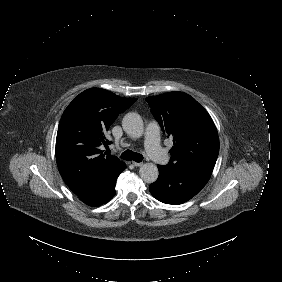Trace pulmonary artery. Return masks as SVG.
<instances>
[{
  "mask_svg": "<svg viewBox=\"0 0 282 282\" xmlns=\"http://www.w3.org/2000/svg\"><path fill=\"white\" fill-rule=\"evenodd\" d=\"M144 145L148 149L149 154L152 159L156 162H159L163 159L164 154L161 151L159 141L161 138V133L158 126L155 123H151L144 133Z\"/></svg>",
  "mask_w": 282,
  "mask_h": 282,
  "instance_id": "obj_1",
  "label": "pulmonary artery"
}]
</instances>
